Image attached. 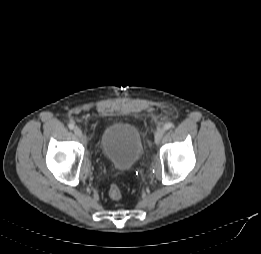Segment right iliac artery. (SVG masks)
Here are the masks:
<instances>
[{
  "label": "right iliac artery",
  "instance_id": "82829eb1",
  "mask_svg": "<svg viewBox=\"0 0 261 254\" xmlns=\"http://www.w3.org/2000/svg\"><path fill=\"white\" fill-rule=\"evenodd\" d=\"M68 127L72 130V129H74V124H73V123H70V124L68 125Z\"/></svg>",
  "mask_w": 261,
  "mask_h": 254
}]
</instances>
